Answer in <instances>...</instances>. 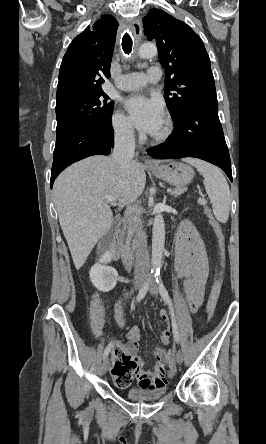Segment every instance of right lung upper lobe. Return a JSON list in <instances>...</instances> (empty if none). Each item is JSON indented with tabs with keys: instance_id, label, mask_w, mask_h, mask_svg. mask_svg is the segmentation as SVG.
Wrapping results in <instances>:
<instances>
[{
	"instance_id": "1",
	"label": "right lung upper lobe",
	"mask_w": 266,
	"mask_h": 444,
	"mask_svg": "<svg viewBox=\"0 0 266 444\" xmlns=\"http://www.w3.org/2000/svg\"><path fill=\"white\" fill-rule=\"evenodd\" d=\"M117 27L116 19L105 15L73 39L60 66L56 99L102 89L110 77Z\"/></svg>"
}]
</instances>
